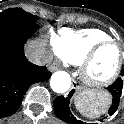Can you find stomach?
<instances>
[{
  "mask_svg": "<svg viewBox=\"0 0 124 124\" xmlns=\"http://www.w3.org/2000/svg\"><path fill=\"white\" fill-rule=\"evenodd\" d=\"M79 95H87L90 96L93 100L99 99L100 96H104V97H108L107 95H105V93L103 92H92V91H88V90H83L80 89L79 90Z\"/></svg>",
  "mask_w": 124,
  "mask_h": 124,
  "instance_id": "0dacf381",
  "label": "stomach"
}]
</instances>
